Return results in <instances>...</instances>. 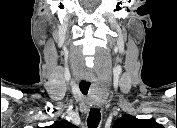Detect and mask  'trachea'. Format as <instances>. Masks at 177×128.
Listing matches in <instances>:
<instances>
[{
    "label": "trachea",
    "instance_id": "1",
    "mask_svg": "<svg viewBox=\"0 0 177 128\" xmlns=\"http://www.w3.org/2000/svg\"><path fill=\"white\" fill-rule=\"evenodd\" d=\"M101 120L99 109L91 108L87 119L88 128H97Z\"/></svg>",
    "mask_w": 177,
    "mask_h": 128
}]
</instances>
